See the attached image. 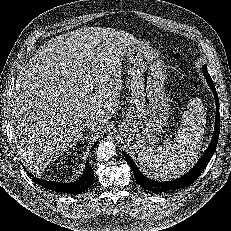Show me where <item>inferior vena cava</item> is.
<instances>
[{"label":"inferior vena cava","mask_w":231,"mask_h":231,"mask_svg":"<svg viewBox=\"0 0 231 231\" xmlns=\"http://www.w3.org/2000/svg\"><path fill=\"white\" fill-rule=\"evenodd\" d=\"M85 126L91 127L97 124V120L95 118H89L85 120Z\"/></svg>","instance_id":"602c4592"}]
</instances>
